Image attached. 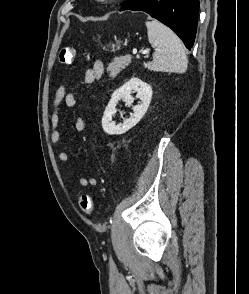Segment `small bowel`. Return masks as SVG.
Here are the masks:
<instances>
[{
	"instance_id": "1",
	"label": "small bowel",
	"mask_w": 249,
	"mask_h": 294,
	"mask_svg": "<svg viewBox=\"0 0 249 294\" xmlns=\"http://www.w3.org/2000/svg\"><path fill=\"white\" fill-rule=\"evenodd\" d=\"M105 72L104 64L101 60H95L90 68L85 72L82 83L92 84L102 78ZM77 102L75 90L68 91L64 86H59L53 96L52 100V114H51V129H50V140L53 146L59 147L61 144V133L59 129L60 124V109L62 103H65L66 107L74 108ZM75 129L78 132H84L86 130V121L82 117H77L75 119ZM58 159L63 164H69V156L66 152L60 151L58 153ZM77 183L82 187H95L98 183L97 179L94 177H83L77 176ZM72 185L74 182L70 181Z\"/></svg>"
}]
</instances>
